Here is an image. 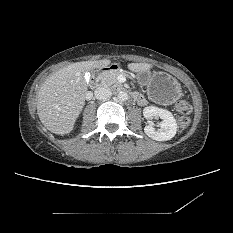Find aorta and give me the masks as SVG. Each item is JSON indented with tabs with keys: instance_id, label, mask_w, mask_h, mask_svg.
Returning <instances> with one entry per match:
<instances>
[{
	"instance_id": "aorta-1",
	"label": "aorta",
	"mask_w": 233,
	"mask_h": 233,
	"mask_svg": "<svg viewBox=\"0 0 233 233\" xmlns=\"http://www.w3.org/2000/svg\"><path fill=\"white\" fill-rule=\"evenodd\" d=\"M117 97L120 101H126L128 99V94L124 91H120Z\"/></svg>"
}]
</instances>
